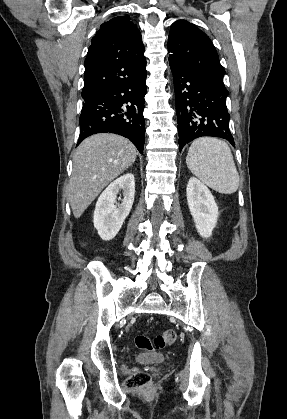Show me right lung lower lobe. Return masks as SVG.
Masks as SVG:
<instances>
[{"mask_svg": "<svg viewBox=\"0 0 287 419\" xmlns=\"http://www.w3.org/2000/svg\"><path fill=\"white\" fill-rule=\"evenodd\" d=\"M146 72L84 102L79 118L78 144L96 133H115L128 138L143 154Z\"/></svg>", "mask_w": 287, "mask_h": 419, "instance_id": "right-lung-lower-lobe-1", "label": "right lung lower lobe"}]
</instances>
